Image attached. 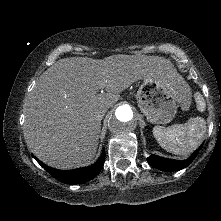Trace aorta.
Instances as JSON below:
<instances>
[{"mask_svg": "<svg viewBox=\"0 0 221 221\" xmlns=\"http://www.w3.org/2000/svg\"><path fill=\"white\" fill-rule=\"evenodd\" d=\"M137 122L132 108L121 105L116 108L108 122L109 130L118 136H126L136 129Z\"/></svg>", "mask_w": 221, "mask_h": 221, "instance_id": "obj_1", "label": "aorta"}]
</instances>
